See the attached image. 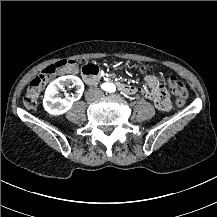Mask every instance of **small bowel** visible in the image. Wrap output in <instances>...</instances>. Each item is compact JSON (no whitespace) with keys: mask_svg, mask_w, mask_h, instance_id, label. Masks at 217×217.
Instances as JSON below:
<instances>
[{"mask_svg":"<svg viewBox=\"0 0 217 217\" xmlns=\"http://www.w3.org/2000/svg\"><path fill=\"white\" fill-rule=\"evenodd\" d=\"M146 81L152 86V93H149L148 97L152 100L162 111L170 110V103L168 100V95L157 82L154 76H147Z\"/></svg>","mask_w":217,"mask_h":217,"instance_id":"c3829d8e","label":"small bowel"}]
</instances>
